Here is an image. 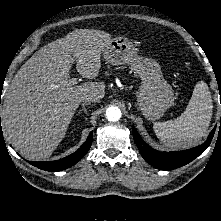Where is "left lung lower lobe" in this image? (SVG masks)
<instances>
[{"mask_svg":"<svg viewBox=\"0 0 221 221\" xmlns=\"http://www.w3.org/2000/svg\"><path fill=\"white\" fill-rule=\"evenodd\" d=\"M132 130L134 141L144 160L151 166L163 170L180 168L200 156L210 145L215 132L214 128L207 140L197 147L184 151L160 152L147 145L134 127H132Z\"/></svg>","mask_w":221,"mask_h":221,"instance_id":"obj_1","label":"left lung lower lobe"}]
</instances>
